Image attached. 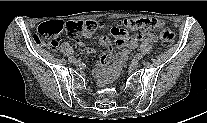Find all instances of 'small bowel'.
<instances>
[{
  "mask_svg": "<svg viewBox=\"0 0 207 123\" xmlns=\"http://www.w3.org/2000/svg\"><path fill=\"white\" fill-rule=\"evenodd\" d=\"M112 33L115 37V44L119 48H126L127 50L123 53H121L118 58L120 57H126L127 51L135 49L138 44L143 41V40H148L150 42H154L157 40L156 35L151 33L149 29H141L139 33L133 37H129L127 32L122 29L119 25H113L111 26ZM99 43L101 46L107 49L108 54L102 55L101 56V62L104 64L112 63L113 59L111 57V53L113 50V44L112 41L110 40L109 37L107 36H102L99 39ZM80 46H82L87 53H92L94 52L92 48L89 46H86L82 42H78ZM116 59V62L118 60Z\"/></svg>",
  "mask_w": 207,
  "mask_h": 123,
  "instance_id": "small-bowel-1",
  "label": "small bowel"
}]
</instances>
